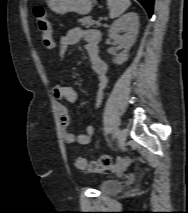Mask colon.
Listing matches in <instances>:
<instances>
[{
	"mask_svg": "<svg viewBox=\"0 0 188 213\" xmlns=\"http://www.w3.org/2000/svg\"><path fill=\"white\" fill-rule=\"evenodd\" d=\"M36 18L39 34L43 45L48 50H54L55 43L52 36V29L47 17L45 8L42 5H36L33 8ZM133 160L130 157H112L102 156L99 160L88 162L85 158L79 156L75 159V166L80 170L89 172H99L103 170H119L129 167Z\"/></svg>",
	"mask_w": 188,
	"mask_h": 213,
	"instance_id": "obj_1",
	"label": "colon"
}]
</instances>
